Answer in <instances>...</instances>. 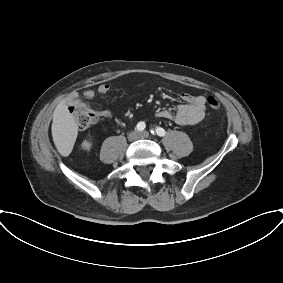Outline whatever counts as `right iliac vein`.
Returning <instances> with one entry per match:
<instances>
[{
	"label": "right iliac vein",
	"instance_id": "1",
	"mask_svg": "<svg viewBox=\"0 0 283 283\" xmlns=\"http://www.w3.org/2000/svg\"><path fill=\"white\" fill-rule=\"evenodd\" d=\"M139 138V133L137 131H132L128 135L129 141H136Z\"/></svg>",
	"mask_w": 283,
	"mask_h": 283
}]
</instances>
